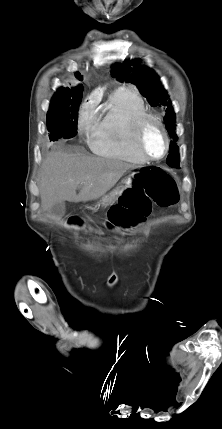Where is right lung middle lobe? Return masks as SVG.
<instances>
[{
    "mask_svg": "<svg viewBox=\"0 0 222 429\" xmlns=\"http://www.w3.org/2000/svg\"><path fill=\"white\" fill-rule=\"evenodd\" d=\"M83 86L63 94H55L47 112V130L50 141L72 138L77 134V119L82 101Z\"/></svg>",
    "mask_w": 222,
    "mask_h": 429,
    "instance_id": "1",
    "label": "right lung middle lobe"
}]
</instances>
